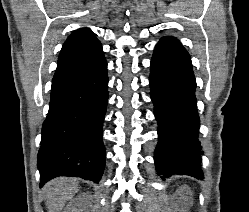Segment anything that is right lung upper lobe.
<instances>
[{
    "mask_svg": "<svg viewBox=\"0 0 249 212\" xmlns=\"http://www.w3.org/2000/svg\"><path fill=\"white\" fill-rule=\"evenodd\" d=\"M102 46L94 33L88 29L74 31L65 41L55 75H59L91 63L102 56Z\"/></svg>",
    "mask_w": 249,
    "mask_h": 212,
    "instance_id": "obj_1",
    "label": "right lung upper lobe"
}]
</instances>
